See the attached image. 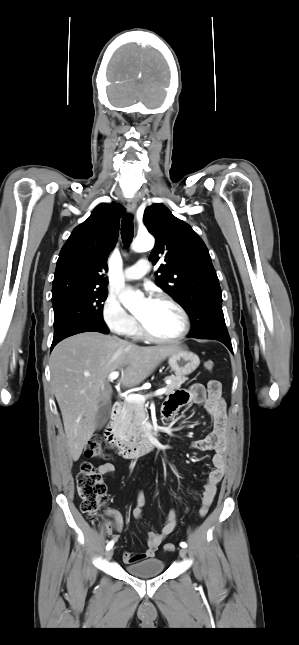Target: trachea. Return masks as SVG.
Returning <instances> with one entry per match:
<instances>
[{
  "mask_svg": "<svg viewBox=\"0 0 299 645\" xmlns=\"http://www.w3.org/2000/svg\"><path fill=\"white\" fill-rule=\"evenodd\" d=\"M121 235L123 243L129 247L134 235L133 217L130 214L125 215L122 219Z\"/></svg>",
  "mask_w": 299,
  "mask_h": 645,
  "instance_id": "1",
  "label": "trachea"
}]
</instances>
